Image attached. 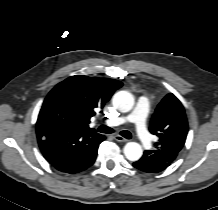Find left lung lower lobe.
I'll return each mask as SVG.
<instances>
[{
    "label": "left lung lower lobe",
    "mask_w": 218,
    "mask_h": 210,
    "mask_svg": "<svg viewBox=\"0 0 218 210\" xmlns=\"http://www.w3.org/2000/svg\"><path fill=\"white\" fill-rule=\"evenodd\" d=\"M171 163L164 159H156L155 155L150 153V151H145L144 155L140 160L133 163V166L139 170L157 173L164 170Z\"/></svg>",
    "instance_id": "obj_1"
}]
</instances>
